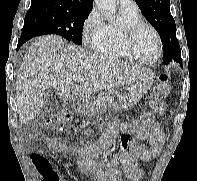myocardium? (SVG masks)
I'll return each instance as SVG.
<instances>
[{
  "mask_svg": "<svg viewBox=\"0 0 197 181\" xmlns=\"http://www.w3.org/2000/svg\"><path fill=\"white\" fill-rule=\"evenodd\" d=\"M142 28L150 29L152 31V33L154 34V36L156 37V39H157L158 53H157L156 57L153 58V59H149V60L148 59H143L137 54V52L135 50V46H134L135 38H136L138 32ZM123 44H124V47L127 50V52L130 54V56L134 60H136L138 62H141V63H144V64L156 63L161 58V55L163 53V43H162L161 36H160L159 32L157 31V29L153 25H151L148 22L142 21V20L134 22V23L128 25L124 29Z\"/></svg>",
  "mask_w": 197,
  "mask_h": 181,
  "instance_id": "obj_1",
  "label": "myocardium"
}]
</instances>
